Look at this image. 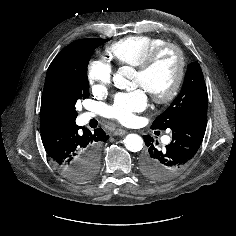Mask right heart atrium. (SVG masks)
<instances>
[{
    "label": "right heart atrium",
    "instance_id": "right-heart-atrium-1",
    "mask_svg": "<svg viewBox=\"0 0 236 236\" xmlns=\"http://www.w3.org/2000/svg\"><path fill=\"white\" fill-rule=\"evenodd\" d=\"M112 74V65L102 58H93L87 65V81L96 93H101L107 89L111 83Z\"/></svg>",
    "mask_w": 236,
    "mask_h": 236
}]
</instances>
